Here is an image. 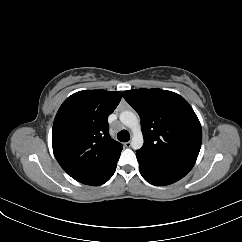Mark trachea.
Returning <instances> with one entry per match:
<instances>
[{
    "label": "trachea",
    "mask_w": 242,
    "mask_h": 242,
    "mask_svg": "<svg viewBox=\"0 0 242 242\" xmlns=\"http://www.w3.org/2000/svg\"><path fill=\"white\" fill-rule=\"evenodd\" d=\"M117 138L121 142H127L130 139V134L126 130H122L117 134Z\"/></svg>",
    "instance_id": "1"
}]
</instances>
